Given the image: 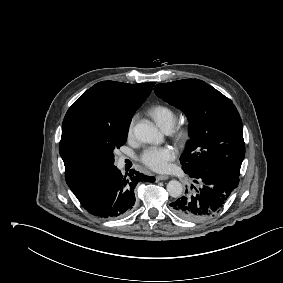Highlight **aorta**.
Instances as JSON below:
<instances>
[{"label":"aorta","instance_id":"762f6f07","mask_svg":"<svg viewBox=\"0 0 283 283\" xmlns=\"http://www.w3.org/2000/svg\"><path fill=\"white\" fill-rule=\"evenodd\" d=\"M134 135L139 141L144 143L159 144L163 141L162 134L152 123L147 121H142L135 125ZM166 189L173 198L180 197L183 191L182 184L177 180L169 181Z\"/></svg>","mask_w":283,"mask_h":283}]
</instances>
